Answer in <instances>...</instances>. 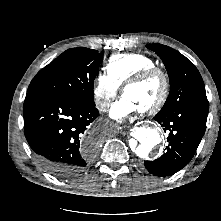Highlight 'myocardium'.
Instances as JSON below:
<instances>
[{"mask_svg": "<svg viewBox=\"0 0 221 221\" xmlns=\"http://www.w3.org/2000/svg\"><path fill=\"white\" fill-rule=\"evenodd\" d=\"M159 78L162 84V91L158 99L151 104L150 106L141 109L140 112L143 114H153L159 111L164 104L166 103L169 92H170V83L167 74L158 67L146 68L137 74L129 78L123 85V92L125 93L126 89L132 85H137L139 83L145 82L150 79Z\"/></svg>", "mask_w": 221, "mask_h": 221, "instance_id": "myocardium-1", "label": "myocardium"}]
</instances>
